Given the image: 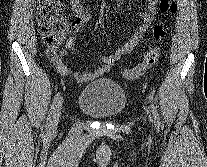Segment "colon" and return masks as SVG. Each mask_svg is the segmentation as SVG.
Listing matches in <instances>:
<instances>
[{
	"mask_svg": "<svg viewBox=\"0 0 207 167\" xmlns=\"http://www.w3.org/2000/svg\"><path fill=\"white\" fill-rule=\"evenodd\" d=\"M160 10L163 13H175L174 0H160ZM37 18L39 20L42 38L49 46H56L61 41L66 26L62 0H41ZM167 25L159 23L153 30V36L158 43H162L167 35ZM161 55L160 45L149 49L141 62L132 68L124 69L121 76L126 80L143 77L149 69L154 67Z\"/></svg>",
	"mask_w": 207,
	"mask_h": 167,
	"instance_id": "colon-1",
	"label": "colon"
}]
</instances>
